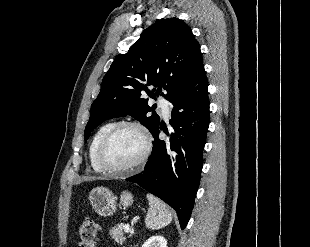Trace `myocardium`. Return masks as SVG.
<instances>
[{
    "label": "myocardium",
    "mask_w": 310,
    "mask_h": 247,
    "mask_svg": "<svg viewBox=\"0 0 310 247\" xmlns=\"http://www.w3.org/2000/svg\"><path fill=\"white\" fill-rule=\"evenodd\" d=\"M124 128H134L138 130L144 141V147L142 150V153L140 156L131 164L121 167V168H111L107 166L103 160V153L104 150L109 143V141L113 138L114 135H116L120 130ZM152 149V139L151 135L148 131V129L141 123L136 122V121H121L117 124H115L102 138V140L99 143V146L97 148L96 152V160L100 168L107 172L110 175H124L130 172H133L140 167H142L145 162L147 161Z\"/></svg>",
    "instance_id": "myocardium-1"
}]
</instances>
